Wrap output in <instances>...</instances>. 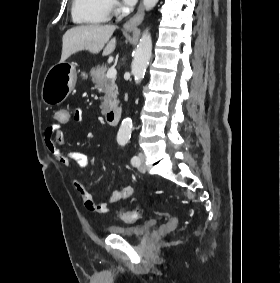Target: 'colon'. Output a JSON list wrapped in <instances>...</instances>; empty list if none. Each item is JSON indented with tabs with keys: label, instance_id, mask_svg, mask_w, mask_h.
<instances>
[{
	"label": "colon",
	"instance_id": "colon-1",
	"mask_svg": "<svg viewBox=\"0 0 280 283\" xmlns=\"http://www.w3.org/2000/svg\"><path fill=\"white\" fill-rule=\"evenodd\" d=\"M55 119L57 125H70L73 114H69L68 108H57L55 111ZM121 219L126 223H134L140 218L138 211H126L120 215Z\"/></svg>",
	"mask_w": 280,
	"mask_h": 283
}]
</instances>
